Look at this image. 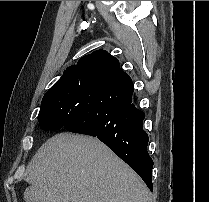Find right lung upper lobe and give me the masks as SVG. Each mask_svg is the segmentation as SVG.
Wrapping results in <instances>:
<instances>
[{"instance_id":"obj_1","label":"right lung upper lobe","mask_w":209,"mask_h":202,"mask_svg":"<svg viewBox=\"0 0 209 202\" xmlns=\"http://www.w3.org/2000/svg\"><path fill=\"white\" fill-rule=\"evenodd\" d=\"M118 68H120L118 59L105 50H96L89 55L83 56L76 65L68 67L61 78H68L78 74H88L91 78H96Z\"/></svg>"}]
</instances>
